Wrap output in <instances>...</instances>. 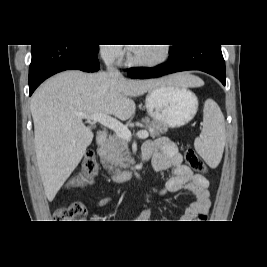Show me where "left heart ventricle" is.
I'll list each match as a JSON object with an SVG mask.
<instances>
[{
    "instance_id": "1",
    "label": "left heart ventricle",
    "mask_w": 267,
    "mask_h": 267,
    "mask_svg": "<svg viewBox=\"0 0 267 267\" xmlns=\"http://www.w3.org/2000/svg\"><path fill=\"white\" fill-rule=\"evenodd\" d=\"M162 54V47L159 45L140 46L134 50V55L139 60H152Z\"/></svg>"
}]
</instances>
